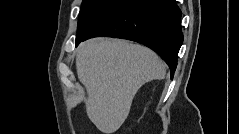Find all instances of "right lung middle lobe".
<instances>
[{
	"label": "right lung middle lobe",
	"instance_id": "1",
	"mask_svg": "<svg viewBox=\"0 0 239 134\" xmlns=\"http://www.w3.org/2000/svg\"><path fill=\"white\" fill-rule=\"evenodd\" d=\"M122 0H83L78 19L77 38L85 36L90 29Z\"/></svg>",
	"mask_w": 239,
	"mask_h": 134
}]
</instances>
